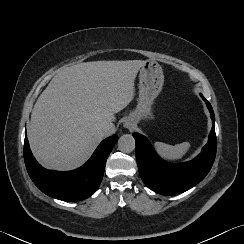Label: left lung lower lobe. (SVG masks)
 <instances>
[{
    "instance_id": "obj_1",
    "label": "left lung lower lobe",
    "mask_w": 244,
    "mask_h": 244,
    "mask_svg": "<svg viewBox=\"0 0 244 244\" xmlns=\"http://www.w3.org/2000/svg\"><path fill=\"white\" fill-rule=\"evenodd\" d=\"M206 103L211 118L214 119L213 109L208 101ZM133 137L136 141V159L140 176L150 189L162 195L182 193L198 184L210 171L216 155L214 122L209 141L202 152L195 159L179 164L162 160L143 135L134 133Z\"/></svg>"
}]
</instances>
